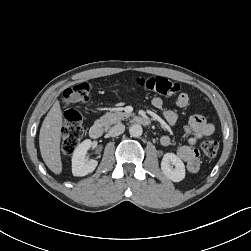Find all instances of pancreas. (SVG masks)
<instances>
[{"mask_svg":"<svg viewBox=\"0 0 251 251\" xmlns=\"http://www.w3.org/2000/svg\"><path fill=\"white\" fill-rule=\"evenodd\" d=\"M130 114H127L125 112H107L105 115L100 117L98 120H96V124L103 126L105 129L110 127L113 124L119 123L122 121L125 117H129Z\"/></svg>","mask_w":251,"mask_h":251,"instance_id":"obj_1","label":"pancreas"}]
</instances>
